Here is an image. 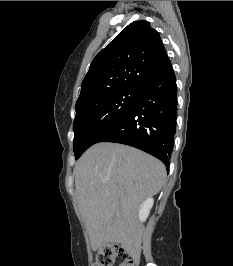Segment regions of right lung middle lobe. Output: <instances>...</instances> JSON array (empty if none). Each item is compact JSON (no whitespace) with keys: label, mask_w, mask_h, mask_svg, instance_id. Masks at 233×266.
I'll list each match as a JSON object with an SVG mask.
<instances>
[{"label":"right lung middle lobe","mask_w":233,"mask_h":266,"mask_svg":"<svg viewBox=\"0 0 233 266\" xmlns=\"http://www.w3.org/2000/svg\"><path fill=\"white\" fill-rule=\"evenodd\" d=\"M141 90L118 89L96 94L76 104L73 150L75 159L115 124L134 104Z\"/></svg>","instance_id":"obj_1"}]
</instances>
